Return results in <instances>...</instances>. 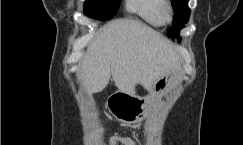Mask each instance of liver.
Instances as JSON below:
<instances>
[{
    "label": "liver",
    "instance_id": "1",
    "mask_svg": "<svg viewBox=\"0 0 243 145\" xmlns=\"http://www.w3.org/2000/svg\"><path fill=\"white\" fill-rule=\"evenodd\" d=\"M179 57L160 33L133 19L105 25L88 45L78 72L88 93L102 91L112 76L116 86L134 93L137 84L151 90Z\"/></svg>",
    "mask_w": 243,
    "mask_h": 145
}]
</instances>
